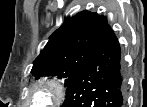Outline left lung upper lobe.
<instances>
[{
    "mask_svg": "<svg viewBox=\"0 0 147 107\" xmlns=\"http://www.w3.org/2000/svg\"><path fill=\"white\" fill-rule=\"evenodd\" d=\"M110 32L106 18L97 13L85 10L65 19L33 62L31 73L36 79L64 78L67 87Z\"/></svg>",
    "mask_w": 147,
    "mask_h": 107,
    "instance_id": "5c2ea615",
    "label": "left lung upper lobe"
}]
</instances>
